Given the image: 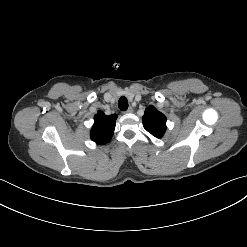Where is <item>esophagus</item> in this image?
I'll return each mask as SVG.
<instances>
[{
	"label": "esophagus",
	"instance_id": "1",
	"mask_svg": "<svg viewBox=\"0 0 247 247\" xmlns=\"http://www.w3.org/2000/svg\"><path fill=\"white\" fill-rule=\"evenodd\" d=\"M133 112V108L129 107L126 111H123V113H132Z\"/></svg>",
	"mask_w": 247,
	"mask_h": 247
}]
</instances>
